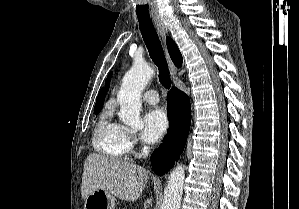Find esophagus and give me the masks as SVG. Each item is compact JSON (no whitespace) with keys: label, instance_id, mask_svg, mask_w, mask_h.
Returning a JSON list of instances; mask_svg holds the SVG:
<instances>
[{"label":"esophagus","instance_id":"esophagus-1","mask_svg":"<svg viewBox=\"0 0 299 209\" xmlns=\"http://www.w3.org/2000/svg\"><path fill=\"white\" fill-rule=\"evenodd\" d=\"M152 19H153V22H154L158 32L160 33V35L162 37V40L164 43L165 55H166V58L168 60L169 66H170L171 76H172L173 80H175L178 76L179 70L175 67L172 60L170 59V56H169V53H168V50L166 47L165 38L168 35V29L159 16H154V17H152Z\"/></svg>","mask_w":299,"mask_h":209}]
</instances>
